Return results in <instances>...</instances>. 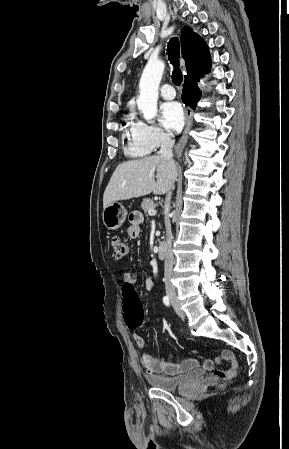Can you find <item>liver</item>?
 Here are the masks:
<instances>
[{"mask_svg":"<svg viewBox=\"0 0 289 449\" xmlns=\"http://www.w3.org/2000/svg\"><path fill=\"white\" fill-rule=\"evenodd\" d=\"M176 178L175 163L170 164L159 155L121 163L105 189L103 208L116 201L139 198L152 192L155 195L165 194L172 188Z\"/></svg>","mask_w":289,"mask_h":449,"instance_id":"obj_1","label":"liver"}]
</instances>
